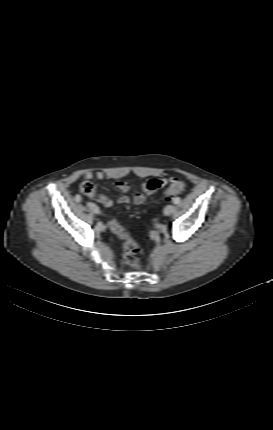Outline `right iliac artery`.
Segmentation results:
<instances>
[{
	"instance_id": "right-iliac-artery-1",
	"label": "right iliac artery",
	"mask_w": 273,
	"mask_h": 430,
	"mask_svg": "<svg viewBox=\"0 0 273 430\" xmlns=\"http://www.w3.org/2000/svg\"><path fill=\"white\" fill-rule=\"evenodd\" d=\"M75 200H76L77 202H80V201H81V197H80V195H76Z\"/></svg>"
}]
</instances>
